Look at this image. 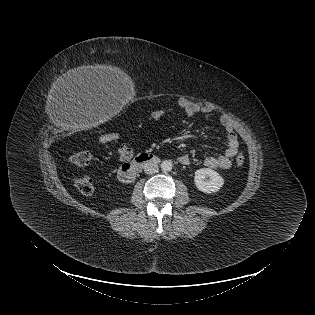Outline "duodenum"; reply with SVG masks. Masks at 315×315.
Masks as SVG:
<instances>
[{"instance_id": "duodenum-1", "label": "duodenum", "mask_w": 315, "mask_h": 315, "mask_svg": "<svg viewBox=\"0 0 315 315\" xmlns=\"http://www.w3.org/2000/svg\"><path fill=\"white\" fill-rule=\"evenodd\" d=\"M157 161L158 158L154 154L142 153L120 167L118 179L124 184H129L146 164L156 163Z\"/></svg>"}]
</instances>
